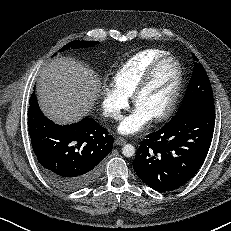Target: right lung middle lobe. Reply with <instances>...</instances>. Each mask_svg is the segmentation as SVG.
<instances>
[{
  "label": "right lung middle lobe",
  "mask_w": 231,
  "mask_h": 231,
  "mask_svg": "<svg viewBox=\"0 0 231 231\" xmlns=\"http://www.w3.org/2000/svg\"><path fill=\"white\" fill-rule=\"evenodd\" d=\"M95 44H97V42L95 41H72L68 44H66L65 46H63L59 52H62L64 50L71 48H85V47H92ZM57 53H55L54 55H56Z\"/></svg>",
  "instance_id": "right-lung-middle-lobe-1"
}]
</instances>
